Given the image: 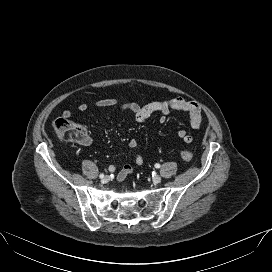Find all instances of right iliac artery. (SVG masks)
<instances>
[{"instance_id": "82829eb1", "label": "right iliac artery", "mask_w": 272, "mask_h": 272, "mask_svg": "<svg viewBox=\"0 0 272 272\" xmlns=\"http://www.w3.org/2000/svg\"><path fill=\"white\" fill-rule=\"evenodd\" d=\"M99 177L102 179L104 177V174H100Z\"/></svg>"}]
</instances>
